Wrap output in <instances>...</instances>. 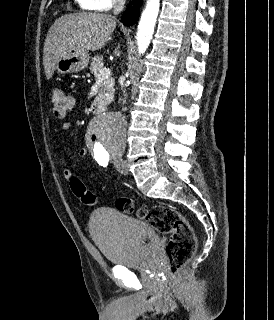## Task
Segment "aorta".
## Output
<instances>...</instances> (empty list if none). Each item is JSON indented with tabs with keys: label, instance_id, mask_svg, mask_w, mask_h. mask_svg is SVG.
I'll return each instance as SVG.
<instances>
[{
	"label": "aorta",
	"instance_id": "aorta-1",
	"mask_svg": "<svg viewBox=\"0 0 274 320\" xmlns=\"http://www.w3.org/2000/svg\"><path fill=\"white\" fill-rule=\"evenodd\" d=\"M159 5V0H148L142 12L137 27V45L140 54L145 53L152 39ZM88 137L95 156L108 158L119 154L125 148L126 122L117 113L104 115L90 126Z\"/></svg>",
	"mask_w": 274,
	"mask_h": 320
}]
</instances>
